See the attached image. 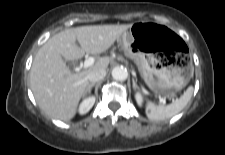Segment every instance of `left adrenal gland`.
I'll return each mask as SVG.
<instances>
[{"instance_id": "a2214340", "label": "left adrenal gland", "mask_w": 225, "mask_h": 155, "mask_svg": "<svg viewBox=\"0 0 225 155\" xmlns=\"http://www.w3.org/2000/svg\"><path fill=\"white\" fill-rule=\"evenodd\" d=\"M132 83H133V89L134 90L139 89V87L137 86L136 81H135L134 78H132Z\"/></svg>"}]
</instances>
